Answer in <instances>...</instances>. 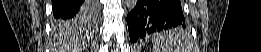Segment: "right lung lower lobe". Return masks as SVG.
Wrapping results in <instances>:
<instances>
[{"label":"right lung lower lobe","instance_id":"98d812e1","mask_svg":"<svg viewBox=\"0 0 261 52\" xmlns=\"http://www.w3.org/2000/svg\"><path fill=\"white\" fill-rule=\"evenodd\" d=\"M52 9L56 19H70L81 13L91 16L95 11L90 1L83 0H52Z\"/></svg>","mask_w":261,"mask_h":52}]
</instances>
